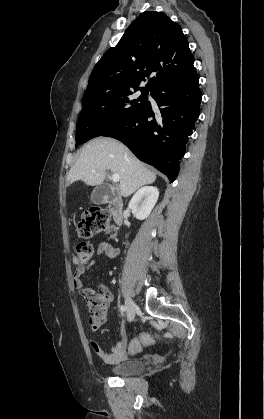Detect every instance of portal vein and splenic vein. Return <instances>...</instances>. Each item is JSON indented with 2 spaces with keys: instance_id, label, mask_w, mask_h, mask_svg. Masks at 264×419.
<instances>
[{
  "instance_id": "1",
  "label": "portal vein and splenic vein",
  "mask_w": 264,
  "mask_h": 419,
  "mask_svg": "<svg viewBox=\"0 0 264 419\" xmlns=\"http://www.w3.org/2000/svg\"><path fill=\"white\" fill-rule=\"evenodd\" d=\"M119 180H120V177H119L118 174H113L112 175V181L113 182L117 183V182H119Z\"/></svg>"
}]
</instances>
